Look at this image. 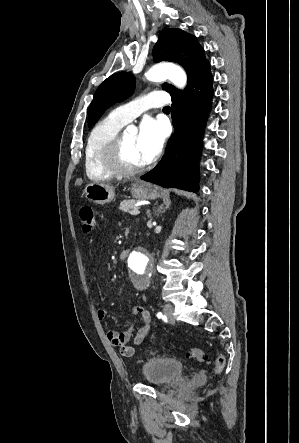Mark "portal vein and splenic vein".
<instances>
[{
  "label": "portal vein and splenic vein",
  "mask_w": 299,
  "mask_h": 443,
  "mask_svg": "<svg viewBox=\"0 0 299 443\" xmlns=\"http://www.w3.org/2000/svg\"><path fill=\"white\" fill-rule=\"evenodd\" d=\"M139 213H140V211L138 210V208H135V209H133V210L130 211V214L133 215V216H136V215H138Z\"/></svg>",
  "instance_id": "1"
}]
</instances>
